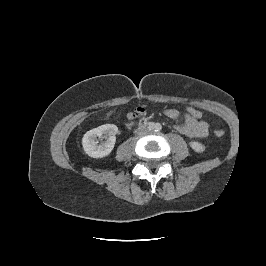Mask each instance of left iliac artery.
Listing matches in <instances>:
<instances>
[{"label":"left iliac artery","mask_w":266,"mask_h":266,"mask_svg":"<svg viewBox=\"0 0 266 266\" xmlns=\"http://www.w3.org/2000/svg\"><path fill=\"white\" fill-rule=\"evenodd\" d=\"M161 129H162V126L159 123H157L155 126V130L160 131Z\"/></svg>","instance_id":"obj_1"}]
</instances>
